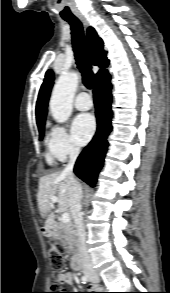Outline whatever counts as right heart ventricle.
Instances as JSON below:
<instances>
[{"mask_svg":"<svg viewBox=\"0 0 170 293\" xmlns=\"http://www.w3.org/2000/svg\"><path fill=\"white\" fill-rule=\"evenodd\" d=\"M47 162L52 165L54 163L53 156L51 154L46 155Z\"/></svg>","mask_w":170,"mask_h":293,"instance_id":"1","label":"right heart ventricle"}]
</instances>
